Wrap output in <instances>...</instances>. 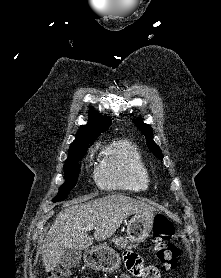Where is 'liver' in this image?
Instances as JSON below:
<instances>
[{
  "label": "liver",
  "mask_w": 221,
  "mask_h": 278,
  "mask_svg": "<svg viewBox=\"0 0 221 278\" xmlns=\"http://www.w3.org/2000/svg\"><path fill=\"white\" fill-rule=\"evenodd\" d=\"M84 201L85 198L67 203L51 226L42 247L46 272L53 271L60 264L68 249H86L94 240L103 241L111 237L130 215L154 211L151 205L122 194ZM90 224L95 225L93 236L88 234L87 226Z\"/></svg>",
  "instance_id": "obj_1"
}]
</instances>
